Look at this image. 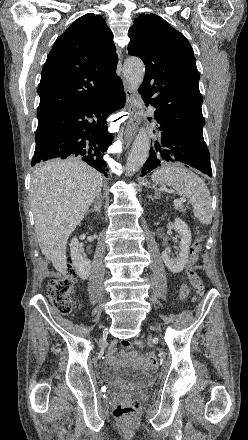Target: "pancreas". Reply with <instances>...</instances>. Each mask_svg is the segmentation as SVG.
I'll return each instance as SVG.
<instances>
[{"mask_svg":"<svg viewBox=\"0 0 248 440\" xmlns=\"http://www.w3.org/2000/svg\"><path fill=\"white\" fill-rule=\"evenodd\" d=\"M175 208L178 210V211H180V212H182V213H185V209H184V207L182 206V204L181 205H175Z\"/></svg>","mask_w":248,"mask_h":440,"instance_id":"1","label":"pancreas"}]
</instances>
